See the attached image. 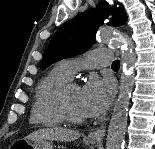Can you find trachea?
I'll return each instance as SVG.
<instances>
[{
    "label": "trachea",
    "mask_w": 155,
    "mask_h": 149,
    "mask_svg": "<svg viewBox=\"0 0 155 149\" xmlns=\"http://www.w3.org/2000/svg\"><path fill=\"white\" fill-rule=\"evenodd\" d=\"M120 66V61L119 60H115L112 65H111V68L112 69H118Z\"/></svg>",
    "instance_id": "3493384b"
}]
</instances>
